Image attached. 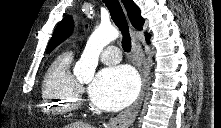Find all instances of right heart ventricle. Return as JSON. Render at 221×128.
<instances>
[{
    "label": "right heart ventricle",
    "mask_w": 221,
    "mask_h": 128,
    "mask_svg": "<svg viewBox=\"0 0 221 128\" xmlns=\"http://www.w3.org/2000/svg\"><path fill=\"white\" fill-rule=\"evenodd\" d=\"M73 53L58 54L48 66L41 88V113L62 117L72 112L77 101L78 80L72 71Z\"/></svg>",
    "instance_id": "right-heart-ventricle-1"
}]
</instances>
